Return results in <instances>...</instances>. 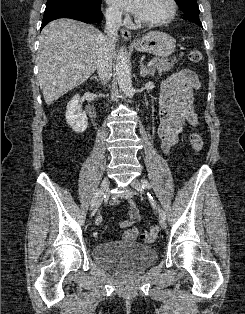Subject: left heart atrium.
Wrapping results in <instances>:
<instances>
[{
    "mask_svg": "<svg viewBox=\"0 0 245 314\" xmlns=\"http://www.w3.org/2000/svg\"><path fill=\"white\" fill-rule=\"evenodd\" d=\"M108 3L121 11L138 14L145 0H107Z\"/></svg>",
    "mask_w": 245,
    "mask_h": 314,
    "instance_id": "obj_1",
    "label": "left heart atrium"
}]
</instances>
